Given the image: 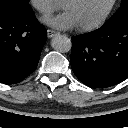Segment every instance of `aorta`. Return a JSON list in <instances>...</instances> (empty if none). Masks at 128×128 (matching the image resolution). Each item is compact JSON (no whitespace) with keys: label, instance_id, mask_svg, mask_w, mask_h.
<instances>
[{"label":"aorta","instance_id":"obj_1","mask_svg":"<svg viewBox=\"0 0 128 128\" xmlns=\"http://www.w3.org/2000/svg\"><path fill=\"white\" fill-rule=\"evenodd\" d=\"M51 46L60 53H67L71 50V40L65 35H56L51 40Z\"/></svg>","mask_w":128,"mask_h":128}]
</instances>
